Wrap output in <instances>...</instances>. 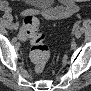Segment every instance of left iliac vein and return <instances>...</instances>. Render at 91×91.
Returning <instances> with one entry per match:
<instances>
[{
	"instance_id": "obj_1",
	"label": "left iliac vein",
	"mask_w": 91,
	"mask_h": 91,
	"mask_svg": "<svg viewBox=\"0 0 91 91\" xmlns=\"http://www.w3.org/2000/svg\"><path fill=\"white\" fill-rule=\"evenodd\" d=\"M75 36H76V37H80V36H81V31L78 30V29H76V30H75Z\"/></svg>"
}]
</instances>
